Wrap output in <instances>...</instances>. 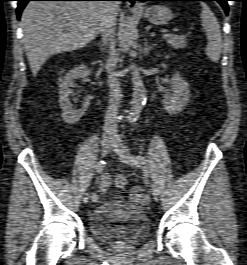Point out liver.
I'll use <instances>...</instances> for the list:
<instances>
[{
	"instance_id": "obj_1",
	"label": "liver",
	"mask_w": 247,
	"mask_h": 265,
	"mask_svg": "<svg viewBox=\"0 0 247 265\" xmlns=\"http://www.w3.org/2000/svg\"><path fill=\"white\" fill-rule=\"evenodd\" d=\"M117 11L111 21L112 32ZM102 14V2H29L22 13L21 25L24 49L33 76L53 55L81 49L95 39Z\"/></svg>"
}]
</instances>
